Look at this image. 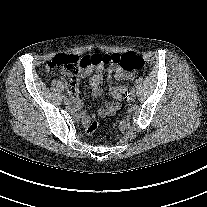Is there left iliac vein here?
<instances>
[{
	"label": "left iliac vein",
	"mask_w": 207,
	"mask_h": 207,
	"mask_svg": "<svg viewBox=\"0 0 207 207\" xmlns=\"http://www.w3.org/2000/svg\"><path fill=\"white\" fill-rule=\"evenodd\" d=\"M135 98H136V95H130L127 97V101L130 102V103H133L135 101Z\"/></svg>",
	"instance_id": "left-iliac-vein-1"
}]
</instances>
